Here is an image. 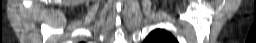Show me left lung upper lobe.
Here are the masks:
<instances>
[{"instance_id": "left-lung-upper-lobe-1", "label": "left lung upper lobe", "mask_w": 256, "mask_h": 43, "mask_svg": "<svg viewBox=\"0 0 256 43\" xmlns=\"http://www.w3.org/2000/svg\"><path fill=\"white\" fill-rule=\"evenodd\" d=\"M144 43H178V42L167 31L162 29H156L148 35Z\"/></svg>"}]
</instances>
